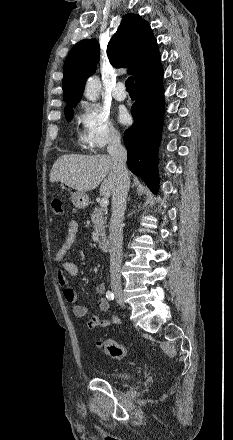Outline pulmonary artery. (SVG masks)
<instances>
[{
    "label": "pulmonary artery",
    "instance_id": "e3ab8cb5",
    "mask_svg": "<svg viewBox=\"0 0 233 440\" xmlns=\"http://www.w3.org/2000/svg\"><path fill=\"white\" fill-rule=\"evenodd\" d=\"M113 97L118 101H123L127 97V93L124 89V85L122 82H117L113 89Z\"/></svg>",
    "mask_w": 233,
    "mask_h": 440
}]
</instances>
